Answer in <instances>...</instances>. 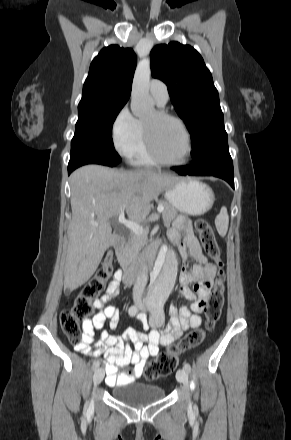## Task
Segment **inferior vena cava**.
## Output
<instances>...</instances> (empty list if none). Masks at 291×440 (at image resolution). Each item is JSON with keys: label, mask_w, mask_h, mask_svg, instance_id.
I'll return each instance as SVG.
<instances>
[{"label": "inferior vena cava", "mask_w": 291, "mask_h": 440, "mask_svg": "<svg viewBox=\"0 0 291 440\" xmlns=\"http://www.w3.org/2000/svg\"><path fill=\"white\" fill-rule=\"evenodd\" d=\"M147 280V269L145 266H142V269L140 270L133 287V300L135 303H141L142 294L146 287Z\"/></svg>", "instance_id": "obj_1"}]
</instances>
